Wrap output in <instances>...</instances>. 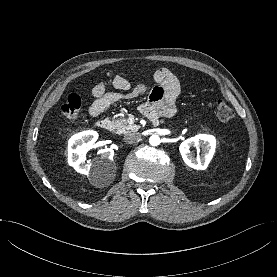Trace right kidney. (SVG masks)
I'll return each instance as SVG.
<instances>
[{"mask_svg": "<svg viewBox=\"0 0 277 277\" xmlns=\"http://www.w3.org/2000/svg\"><path fill=\"white\" fill-rule=\"evenodd\" d=\"M98 133L95 131H84L72 136L68 144V163L81 173L88 175L92 164L86 163L83 154L86 150L94 147ZM114 151L110 148L100 150V160L96 163L112 162Z\"/></svg>", "mask_w": 277, "mask_h": 277, "instance_id": "1", "label": "right kidney"}]
</instances>
